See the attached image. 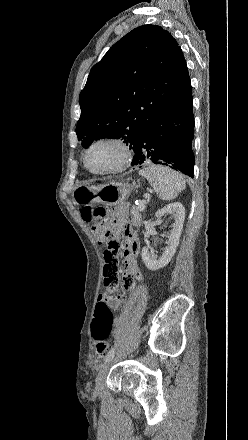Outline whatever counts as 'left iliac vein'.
I'll return each instance as SVG.
<instances>
[{"instance_id":"4c4485c4","label":"left iliac vein","mask_w":248,"mask_h":440,"mask_svg":"<svg viewBox=\"0 0 248 440\" xmlns=\"http://www.w3.org/2000/svg\"><path fill=\"white\" fill-rule=\"evenodd\" d=\"M113 361H114V359L110 358L109 360L105 361V363L102 364L99 368V371H98V374L96 377V387H95L96 392L98 394H100L103 391L105 379H106L109 368H110Z\"/></svg>"}]
</instances>
